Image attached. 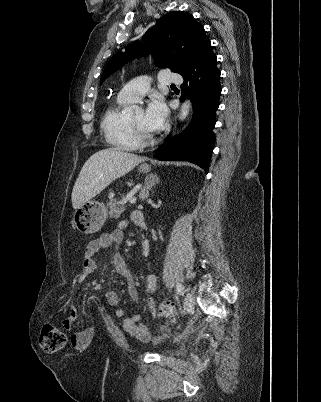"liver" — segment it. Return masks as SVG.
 Here are the masks:
<instances>
[{
	"instance_id": "6515ba94",
	"label": "liver",
	"mask_w": 321,
	"mask_h": 402,
	"mask_svg": "<svg viewBox=\"0 0 321 402\" xmlns=\"http://www.w3.org/2000/svg\"><path fill=\"white\" fill-rule=\"evenodd\" d=\"M144 161L143 157L108 148L94 153L83 165L72 191V206L78 209L112 181L127 174Z\"/></svg>"
}]
</instances>
